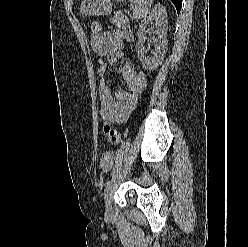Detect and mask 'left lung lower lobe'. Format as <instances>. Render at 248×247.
<instances>
[{"mask_svg":"<svg viewBox=\"0 0 248 247\" xmlns=\"http://www.w3.org/2000/svg\"><path fill=\"white\" fill-rule=\"evenodd\" d=\"M171 1L174 3L177 12L179 13L182 6V0H171Z\"/></svg>","mask_w":248,"mask_h":247,"instance_id":"1","label":"left lung lower lobe"}]
</instances>
